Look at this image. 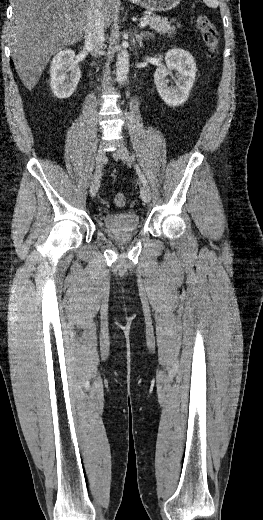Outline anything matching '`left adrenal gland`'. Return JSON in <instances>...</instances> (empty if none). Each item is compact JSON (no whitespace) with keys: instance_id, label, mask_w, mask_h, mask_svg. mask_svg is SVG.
Returning a JSON list of instances; mask_svg holds the SVG:
<instances>
[{"instance_id":"1","label":"left adrenal gland","mask_w":263,"mask_h":520,"mask_svg":"<svg viewBox=\"0 0 263 520\" xmlns=\"http://www.w3.org/2000/svg\"><path fill=\"white\" fill-rule=\"evenodd\" d=\"M135 34V38H136V41L139 43V46L140 47H143V38L145 37H153V34L150 33L149 31H141L140 33H137L136 31L134 32Z\"/></svg>"}]
</instances>
